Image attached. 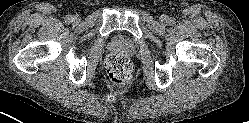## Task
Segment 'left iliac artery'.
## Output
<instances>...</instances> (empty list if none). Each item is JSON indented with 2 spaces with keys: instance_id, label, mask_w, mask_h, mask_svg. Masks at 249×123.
I'll use <instances>...</instances> for the list:
<instances>
[{
  "instance_id": "left-iliac-artery-1",
  "label": "left iliac artery",
  "mask_w": 249,
  "mask_h": 123,
  "mask_svg": "<svg viewBox=\"0 0 249 123\" xmlns=\"http://www.w3.org/2000/svg\"><path fill=\"white\" fill-rule=\"evenodd\" d=\"M169 23H170L171 25H174V24L176 23V20H175V18H170V21H169Z\"/></svg>"
}]
</instances>
